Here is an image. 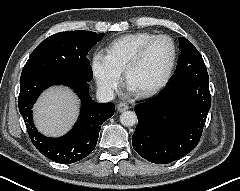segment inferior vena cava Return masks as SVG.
<instances>
[{
  "label": "inferior vena cava",
  "instance_id": "obj_1",
  "mask_svg": "<svg viewBox=\"0 0 240 191\" xmlns=\"http://www.w3.org/2000/svg\"><path fill=\"white\" fill-rule=\"evenodd\" d=\"M96 98L100 103L110 102L114 99V91L110 88H98Z\"/></svg>",
  "mask_w": 240,
  "mask_h": 191
}]
</instances>
